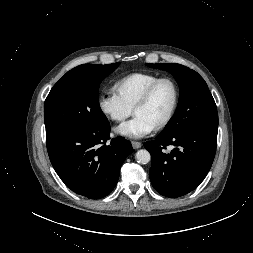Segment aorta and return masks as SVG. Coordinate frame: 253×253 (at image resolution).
<instances>
[{
    "instance_id": "obj_1",
    "label": "aorta",
    "mask_w": 253,
    "mask_h": 253,
    "mask_svg": "<svg viewBox=\"0 0 253 253\" xmlns=\"http://www.w3.org/2000/svg\"><path fill=\"white\" fill-rule=\"evenodd\" d=\"M136 160L140 164H147L151 160V155L146 149H141L136 153Z\"/></svg>"
}]
</instances>
